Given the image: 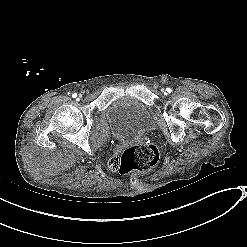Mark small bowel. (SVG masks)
Segmentation results:
<instances>
[{"label":"small bowel","mask_w":247,"mask_h":247,"mask_svg":"<svg viewBox=\"0 0 247 247\" xmlns=\"http://www.w3.org/2000/svg\"><path fill=\"white\" fill-rule=\"evenodd\" d=\"M120 161V158L118 155L113 154L110 156V158L107 160V163L109 164L108 169L110 172L115 173L118 171L119 166L118 163Z\"/></svg>","instance_id":"1"}]
</instances>
